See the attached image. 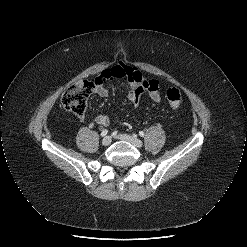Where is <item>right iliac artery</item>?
Masks as SVG:
<instances>
[{
  "label": "right iliac artery",
  "mask_w": 247,
  "mask_h": 247,
  "mask_svg": "<svg viewBox=\"0 0 247 247\" xmlns=\"http://www.w3.org/2000/svg\"><path fill=\"white\" fill-rule=\"evenodd\" d=\"M108 133V130L107 129H104L102 132H101V136L104 137L106 136Z\"/></svg>",
  "instance_id": "1"
}]
</instances>
